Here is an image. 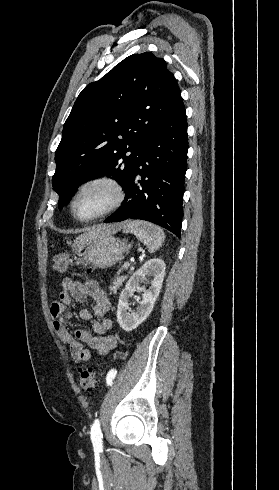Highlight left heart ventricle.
<instances>
[{
	"instance_id": "left-heart-ventricle-1",
	"label": "left heart ventricle",
	"mask_w": 279,
	"mask_h": 490,
	"mask_svg": "<svg viewBox=\"0 0 279 490\" xmlns=\"http://www.w3.org/2000/svg\"><path fill=\"white\" fill-rule=\"evenodd\" d=\"M111 197L110 191L103 186L87 187L76 203V212L80 216H88L102 207Z\"/></svg>"
}]
</instances>
